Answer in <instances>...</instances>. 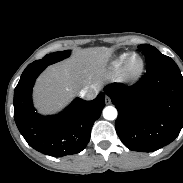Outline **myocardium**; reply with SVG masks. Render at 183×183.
<instances>
[{
  "label": "myocardium",
  "instance_id": "1",
  "mask_svg": "<svg viewBox=\"0 0 183 183\" xmlns=\"http://www.w3.org/2000/svg\"><path fill=\"white\" fill-rule=\"evenodd\" d=\"M137 59L135 65L132 64L133 59ZM144 71V60L137 52H131L127 55L123 67L121 69L120 77L123 82L133 83L137 81Z\"/></svg>",
  "mask_w": 183,
  "mask_h": 183
}]
</instances>
